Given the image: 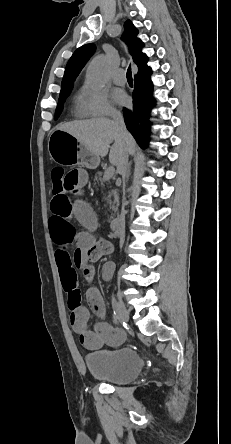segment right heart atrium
I'll return each mask as SVG.
<instances>
[{
    "instance_id": "obj_1",
    "label": "right heart atrium",
    "mask_w": 231,
    "mask_h": 444,
    "mask_svg": "<svg viewBox=\"0 0 231 444\" xmlns=\"http://www.w3.org/2000/svg\"><path fill=\"white\" fill-rule=\"evenodd\" d=\"M77 110L83 117H113L117 110L109 101L107 94L101 90L84 85L78 95Z\"/></svg>"
}]
</instances>
